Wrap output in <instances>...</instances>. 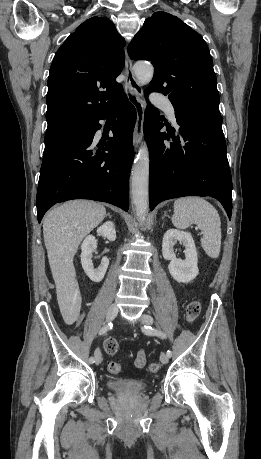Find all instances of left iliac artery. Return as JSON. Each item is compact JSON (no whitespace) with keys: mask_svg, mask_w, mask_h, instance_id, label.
<instances>
[{"mask_svg":"<svg viewBox=\"0 0 261 459\" xmlns=\"http://www.w3.org/2000/svg\"><path fill=\"white\" fill-rule=\"evenodd\" d=\"M142 331H143L145 334H148V335H156V336H159V337H161V338H166V335H165L162 331L157 330V329H153V328L150 327V326H144V327L142 328ZM167 355H168L169 357H171V355H172L171 350H167Z\"/></svg>","mask_w":261,"mask_h":459,"instance_id":"44dca946","label":"left iliac artery"}]
</instances>
